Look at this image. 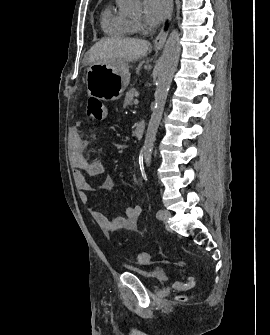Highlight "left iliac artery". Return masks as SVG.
I'll return each mask as SVG.
<instances>
[{
	"instance_id": "left-iliac-artery-1",
	"label": "left iliac artery",
	"mask_w": 270,
	"mask_h": 335,
	"mask_svg": "<svg viewBox=\"0 0 270 335\" xmlns=\"http://www.w3.org/2000/svg\"><path fill=\"white\" fill-rule=\"evenodd\" d=\"M162 216V210H159L157 213H156V217L157 218H160Z\"/></svg>"
}]
</instances>
